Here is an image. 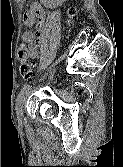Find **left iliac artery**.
<instances>
[{"label":"left iliac artery","instance_id":"left-iliac-artery-1","mask_svg":"<svg viewBox=\"0 0 123 167\" xmlns=\"http://www.w3.org/2000/svg\"><path fill=\"white\" fill-rule=\"evenodd\" d=\"M31 87H32V85H30V84L25 85V86L21 89L20 94H19V97L24 96V95L28 92V90H29Z\"/></svg>","mask_w":123,"mask_h":167}]
</instances>
